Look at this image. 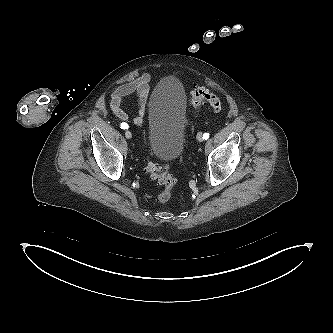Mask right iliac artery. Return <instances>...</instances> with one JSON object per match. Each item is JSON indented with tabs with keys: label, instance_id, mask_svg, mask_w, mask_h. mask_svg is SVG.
Instances as JSON below:
<instances>
[{
	"label": "right iliac artery",
	"instance_id": "obj_1",
	"mask_svg": "<svg viewBox=\"0 0 333 333\" xmlns=\"http://www.w3.org/2000/svg\"><path fill=\"white\" fill-rule=\"evenodd\" d=\"M120 127H121V129H128L129 126L127 123L123 122V123H121Z\"/></svg>",
	"mask_w": 333,
	"mask_h": 333
}]
</instances>
